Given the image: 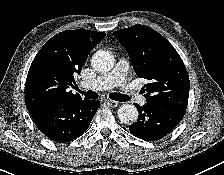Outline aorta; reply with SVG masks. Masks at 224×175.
<instances>
[{
  "instance_id": "obj_1",
  "label": "aorta",
  "mask_w": 224,
  "mask_h": 175,
  "mask_svg": "<svg viewBox=\"0 0 224 175\" xmlns=\"http://www.w3.org/2000/svg\"><path fill=\"white\" fill-rule=\"evenodd\" d=\"M92 67L99 72H108L114 66L113 55L105 50H99L91 58ZM118 118L123 123H133L138 119V110L132 104H123L118 109Z\"/></svg>"
}]
</instances>
